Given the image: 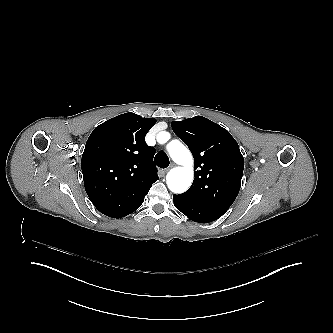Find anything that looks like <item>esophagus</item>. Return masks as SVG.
Segmentation results:
<instances>
[{
    "label": "esophagus",
    "instance_id": "esophagus-1",
    "mask_svg": "<svg viewBox=\"0 0 333 333\" xmlns=\"http://www.w3.org/2000/svg\"><path fill=\"white\" fill-rule=\"evenodd\" d=\"M176 165L174 163H172L169 167H167L165 170L162 171L163 173H167L170 169H172L173 167H175Z\"/></svg>",
    "mask_w": 333,
    "mask_h": 333
}]
</instances>
